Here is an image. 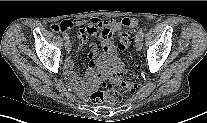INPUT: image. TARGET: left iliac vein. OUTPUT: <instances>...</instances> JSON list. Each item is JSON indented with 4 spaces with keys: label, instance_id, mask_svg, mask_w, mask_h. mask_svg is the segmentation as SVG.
I'll return each instance as SVG.
<instances>
[{
    "label": "left iliac vein",
    "instance_id": "1",
    "mask_svg": "<svg viewBox=\"0 0 207 123\" xmlns=\"http://www.w3.org/2000/svg\"><path fill=\"white\" fill-rule=\"evenodd\" d=\"M142 45H143V43H142V37L137 36V37H136V40H135V47H136V50H137V51H140V50L142 49Z\"/></svg>",
    "mask_w": 207,
    "mask_h": 123
}]
</instances>
